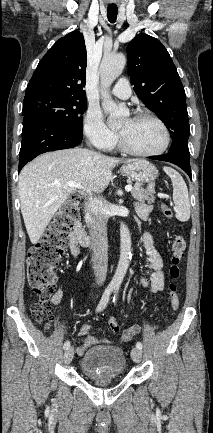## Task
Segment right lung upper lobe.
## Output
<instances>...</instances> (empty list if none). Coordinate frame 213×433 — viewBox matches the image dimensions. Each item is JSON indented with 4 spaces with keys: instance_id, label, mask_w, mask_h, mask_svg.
I'll return each mask as SVG.
<instances>
[{
    "instance_id": "right-lung-upper-lobe-1",
    "label": "right lung upper lobe",
    "mask_w": 213,
    "mask_h": 433,
    "mask_svg": "<svg viewBox=\"0 0 213 433\" xmlns=\"http://www.w3.org/2000/svg\"><path fill=\"white\" fill-rule=\"evenodd\" d=\"M87 54L83 34L75 30L60 38L39 62L25 97L56 94L86 98Z\"/></svg>"
}]
</instances>
